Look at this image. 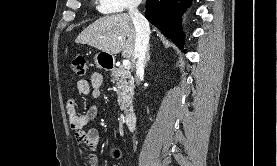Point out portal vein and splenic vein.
<instances>
[{
  "label": "portal vein and splenic vein",
  "instance_id": "18ae733b",
  "mask_svg": "<svg viewBox=\"0 0 277 166\" xmlns=\"http://www.w3.org/2000/svg\"><path fill=\"white\" fill-rule=\"evenodd\" d=\"M123 65H124L127 69H129V68H130L131 63H130V61H129V60L125 59V60L123 61Z\"/></svg>",
  "mask_w": 277,
  "mask_h": 166
}]
</instances>
